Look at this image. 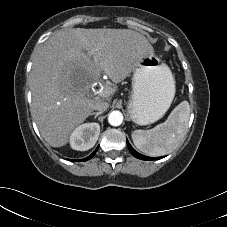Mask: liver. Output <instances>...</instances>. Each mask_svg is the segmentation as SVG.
Here are the masks:
<instances>
[{
	"instance_id": "liver-1",
	"label": "liver",
	"mask_w": 227,
	"mask_h": 227,
	"mask_svg": "<svg viewBox=\"0 0 227 227\" xmlns=\"http://www.w3.org/2000/svg\"><path fill=\"white\" fill-rule=\"evenodd\" d=\"M148 54L154 50L145 36L129 29L75 28L50 37L35 55L30 74L31 113L42 137L52 147L66 145L92 106L117 91L105 84L90 96L99 72L117 84Z\"/></svg>"
}]
</instances>
